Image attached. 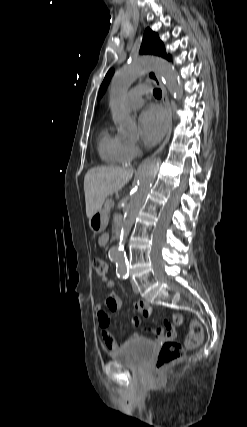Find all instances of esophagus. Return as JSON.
Returning <instances> with one entry per match:
<instances>
[{"label":"esophagus","instance_id":"esophagus-1","mask_svg":"<svg viewBox=\"0 0 247 427\" xmlns=\"http://www.w3.org/2000/svg\"><path fill=\"white\" fill-rule=\"evenodd\" d=\"M147 76L162 91V102H163L165 108L167 109L168 116H169V123H168L167 135H166L164 141L162 142V144L159 146V148L151 156L147 157L146 159H144L140 163V165L138 166V170L144 169L155 158V156L157 154H159L164 149V147L166 146V144L168 143V141L170 139L171 132H172V108H171V105L169 102L167 90H166L164 84L162 83V81L160 80V78L157 76V74L153 70H149L147 73Z\"/></svg>","mask_w":247,"mask_h":427}]
</instances>
